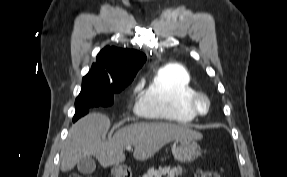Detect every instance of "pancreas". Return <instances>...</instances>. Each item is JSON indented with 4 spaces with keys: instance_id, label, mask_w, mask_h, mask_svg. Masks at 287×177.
<instances>
[{
    "instance_id": "pancreas-1",
    "label": "pancreas",
    "mask_w": 287,
    "mask_h": 177,
    "mask_svg": "<svg viewBox=\"0 0 287 177\" xmlns=\"http://www.w3.org/2000/svg\"><path fill=\"white\" fill-rule=\"evenodd\" d=\"M181 174H182V168L180 166L175 168L159 167L158 170L155 168L149 169L147 173L143 175V177H163V176L175 177Z\"/></svg>"
}]
</instances>
